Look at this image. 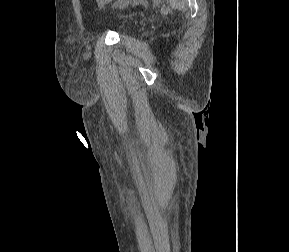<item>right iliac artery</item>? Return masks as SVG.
Segmentation results:
<instances>
[{"instance_id": "1", "label": "right iliac artery", "mask_w": 289, "mask_h": 252, "mask_svg": "<svg viewBox=\"0 0 289 252\" xmlns=\"http://www.w3.org/2000/svg\"><path fill=\"white\" fill-rule=\"evenodd\" d=\"M123 0H118L114 5L113 7H118L121 3H122Z\"/></svg>"}]
</instances>
